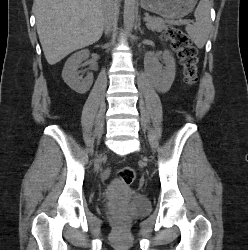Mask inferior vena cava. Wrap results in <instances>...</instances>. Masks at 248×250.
<instances>
[{"label":"inferior vena cava","mask_w":248,"mask_h":250,"mask_svg":"<svg viewBox=\"0 0 248 250\" xmlns=\"http://www.w3.org/2000/svg\"><path fill=\"white\" fill-rule=\"evenodd\" d=\"M113 25V2L112 0H105L104 5V28L105 34L111 31Z\"/></svg>","instance_id":"inferior-vena-cava-1"}]
</instances>
